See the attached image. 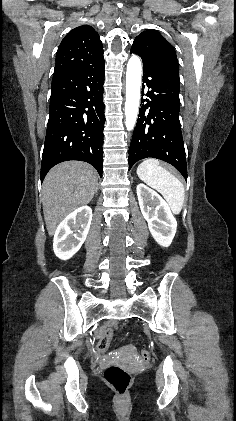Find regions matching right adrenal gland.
<instances>
[{
	"label": "right adrenal gland",
	"instance_id": "right-adrenal-gland-1",
	"mask_svg": "<svg viewBox=\"0 0 236 421\" xmlns=\"http://www.w3.org/2000/svg\"><path fill=\"white\" fill-rule=\"evenodd\" d=\"M98 188H99V184H97V186H96V190H98Z\"/></svg>",
	"mask_w": 236,
	"mask_h": 421
}]
</instances>
